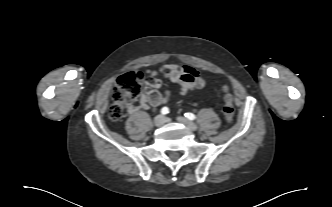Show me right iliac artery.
Segmentation results:
<instances>
[{"label": "right iliac artery", "mask_w": 332, "mask_h": 207, "mask_svg": "<svg viewBox=\"0 0 332 207\" xmlns=\"http://www.w3.org/2000/svg\"><path fill=\"white\" fill-rule=\"evenodd\" d=\"M169 113V109L167 108V107H163L162 109H161V114L162 115H166V114H168Z\"/></svg>", "instance_id": "right-iliac-artery-1"}]
</instances>
